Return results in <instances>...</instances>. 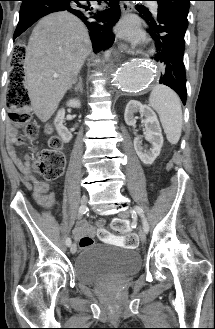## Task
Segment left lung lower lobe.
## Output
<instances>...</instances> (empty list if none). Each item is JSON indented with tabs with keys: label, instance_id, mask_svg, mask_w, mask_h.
Returning <instances> with one entry per match:
<instances>
[{
	"label": "left lung lower lobe",
	"instance_id": "1",
	"mask_svg": "<svg viewBox=\"0 0 215 329\" xmlns=\"http://www.w3.org/2000/svg\"><path fill=\"white\" fill-rule=\"evenodd\" d=\"M145 16L143 18L148 23L150 35L155 41V60L164 68L160 84L172 88L185 105L187 90L183 55L187 27L163 13H158L155 19L151 15Z\"/></svg>",
	"mask_w": 215,
	"mask_h": 329
}]
</instances>
